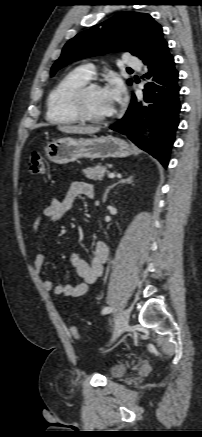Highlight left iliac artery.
<instances>
[{
    "label": "left iliac artery",
    "mask_w": 202,
    "mask_h": 437,
    "mask_svg": "<svg viewBox=\"0 0 202 437\" xmlns=\"http://www.w3.org/2000/svg\"><path fill=\"white\" fill-rule=\"evenodd\" d=\"M112 308L111 307H105L103 310H102V314H107V313H110V312H112Z\"/></svg>",
    "instance_id": "44dca946"
}]
</instances>
